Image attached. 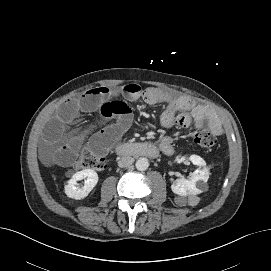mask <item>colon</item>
<instances>
[{
	"mask_svg": "<svg viewBox=\"0 0 271 271\" xmlns=\"http://www.w3.org/2000/svg\"><path fill=\"white\" fill-rule=\"evenodd\" d=\"M194 142L204 149H210L215 146L217 138L215 134L209 129L202 127L197 130L194 135ZM105 166L104 159L101 156L85 150L81 156L76 160L73 167L76 170L93 169L102 170Z\"/></svg>",
	"mask_w": 271,
	"mask_h": 271,
	"instance_id": "1",
	"label": "colon"
}]
</instances>
